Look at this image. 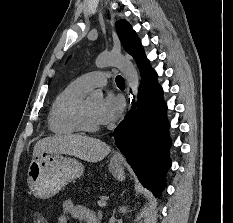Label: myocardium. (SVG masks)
<instances>
[{"mask_svg": "<svg viewBox=\"0 0 233 223\" xmlns=\"http://www.w3.org/2000/svg\"><path fill=\"white\" fill-rule=\"evenodd\" d=\"M88 99H85L78 109L77 120L78 126L82 132L86 133H95L100 130L99 123H93L89 119L88 110H87Z\"/></svg>", "mask_w": 233, "mask_h": 223, "instance_id": "obj_1", "label": "myocardium"}]
</instances>
